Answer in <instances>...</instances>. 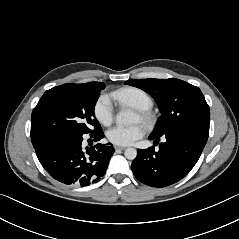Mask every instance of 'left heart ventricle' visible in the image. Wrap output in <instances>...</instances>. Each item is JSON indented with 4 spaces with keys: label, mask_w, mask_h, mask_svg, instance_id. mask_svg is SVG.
<instances>
[{
    "label": "left heart ventricle",
    "mask_w": 239,
    "mask_h": 239,
    "mask_svg": "<svg viewBox=\"0 0 239 239\" xmlns=\"http://www.w3.org/2000/svg\"><path fill=\"white\" fill-rule=\"evenodd\" d=\"M139 120H140L139 115H137L136 116V121H139Z\"/></svg>",
    "instance_id": "left-heart-ventricle-1"
}]
</instances>
